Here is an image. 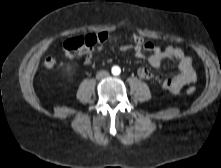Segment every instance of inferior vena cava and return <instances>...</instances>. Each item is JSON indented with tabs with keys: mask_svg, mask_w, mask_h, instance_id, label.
<instances>
[{
	"mask_svg": "<svg viewBox=\"0 0 221 168\" xmlns=\"http://www.w3.org/2000/svg\"><path fill=\"white\" fill-rule=\"evenodd\" d=\"M108 75H109L108 71L101 70V71L97 72L96 78L99 80V79H102L104 77H107Z\"/></svg>",
	"mask_w": 221,
	"mask_h": 168,
	"instance_id": "1",
	"label": "inferior vena cava"
}]
</instances>
